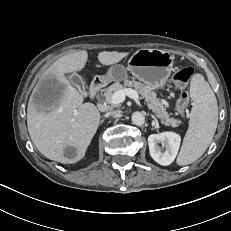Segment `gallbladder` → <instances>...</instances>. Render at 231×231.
Wrapping results in <instances>:
<instances>
[{"mask_svg": "<svg viewBox=\"0 0 231 231\" xmlns=\"http://www.w3.org/2000/svg\"><path fill=\"white\" fill-rule=\"evenodd\" d=\"M69 80L83 93V95L87 94L84 88V81L80 75L73 73L70 75Z\"/></svg>", "mask_w": 231, "mask_h": 231, "instance_id": "1", "label": "gallbladder"}]
</instances>
